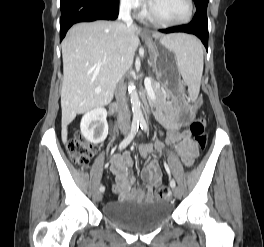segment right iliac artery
<instances>
[{
	"instance_id": "right-iliac-artery-1",
	"label": "right iliac artery",
	"mask_w": 264,
	"mask_h": 247,
	"mask_svg": "<svg viewBox=\"0 0 264 247\" xmlns=\"http://www.w3.org/2000/svg\"><path fill=\"white\" fill-rule=\"evenodd\" d=\"M138 129H139V121H133L132 122V126H131V131L130 133L128 134V136L123 139V141L119 144V149L122 150L124 148H126L130 142L133 140V138L135 137L136 133L138 132ZM100 192H104L105 190V187L104 186H101L100 187Z\"/></svg>"
}]
</instances>
